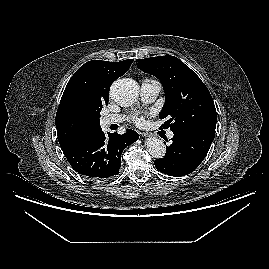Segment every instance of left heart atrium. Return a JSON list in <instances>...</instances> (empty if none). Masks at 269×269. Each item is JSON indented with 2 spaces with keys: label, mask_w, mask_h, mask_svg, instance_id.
I'll list each match as a JSON object with an SVG mask.
<instances>
[{
  "label": "left heart atrium",
  "mask_w": 269,
  "mask_h": 269,
  "mask_svg": "<svg viewBox=\"0 0 269 269\" xmlns=\"http://www.w3.org/2000/svg\"><path fill=\"white\" fill-rule=\"evenodd\" d=\"M132 121L137 125H141L144 122V119L142 115L135 114L132 116Z\"/></svg>",
  "instance_id": "1"
}]
</instances>
